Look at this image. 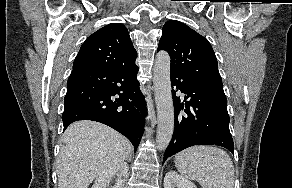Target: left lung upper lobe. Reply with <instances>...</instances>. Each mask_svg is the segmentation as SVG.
Returning <instances> with one entry per match:
<instances>
[{"mask_svg":"<svg viewBox=\"0 0 292 188\" xmlns=\"http://www.w3.org/2000/svg\"><path fill=\"white\" fill-rule=\"evenodd\" d=\"M171 58V72L201 85L223 91L215 53L206 38L176 20L167 21L158 50Z\"/></svg>","mask_w":292,"mask_h":188,"instance_id":"5c2ea615","label":"left lung upper lobe"}]
</instances>
